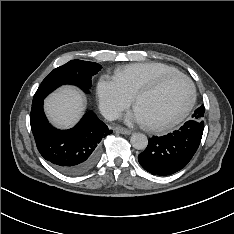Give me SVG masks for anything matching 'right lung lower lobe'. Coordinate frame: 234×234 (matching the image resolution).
Wrapping results in <instances>:
<instances>
[{"mask_svg": "<svg viewBox=\"0 0 234 234\" xmlns=\"http://www.w3.org/2000/svg\"><path fill=\"white\" fill-rule=\"evenodd\" d=\"M30 124L40 154L60 172L77 176L96 163L100 141L113 131L88 112L73 128L58 130L52 127L43 111V99L32 104Z\"/></svg>", "mask_w": 234, "mask_h": 234, "instance_id": "1", "label": "right lung lower lobe"}]
</instances>
